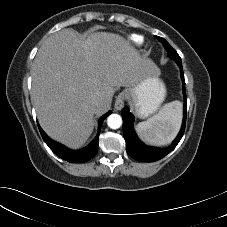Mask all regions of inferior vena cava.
I'll use <instances>...</instances> for the list:
<instances>
[{
	"label": "inferior vena cava",
	"mask_w": 227,
	"mask_h": 227,
	"mask_svg": "<svg viewBox=\"0 0 227 227\" xmlns=\"http://www.w3.org/2000/svg\"><path fill=\"white\" fill-rule=\"evenodd\" d=\"M101 103H102V99L99 98V97H96V98L93 100V104H94V106H96V107H99V106L101 105Z\"/></svg>",
	"instance_id": "inferior-vena-cava-1"
}]
</instances>
